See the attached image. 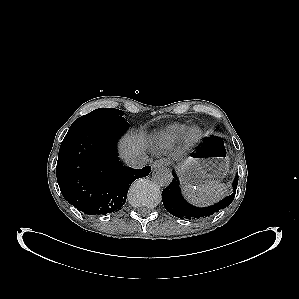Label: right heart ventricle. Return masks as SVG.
I'll list each match as a JSON object with an SVG mask.
<instances>
[{
  "label": "right heart ventricle",
  "mask_w": 299,
  "mask_h": 299,
  "mask_svg": "<svg viewBox=\"0 0 299 299\" xmlns=\"http://www.w3.org/2000/svg\"><path fill=\"white\" fill-rule=\"evenodd\" d=\"M188 130L186 124H172L156 133L153 144L157 148H163L174 144L182 139Z\"/></svg>",
  "instance_id": "e07e8e85"
}]
</instances>
